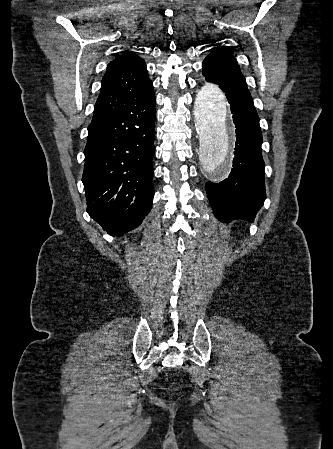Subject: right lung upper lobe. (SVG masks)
Wrapping results in <instances>:
<instances>
[{
    "instance_id": "1",
    "label": "right lung upper lobe",
    "mask_w": 333,
    "mask_h": 449,
    "mask_svg": "<svg viewBox=\"0 0 333 449\" xmlns=\"http://www.w3.org/2000/svg\"><path fill=\"white\" fill-rule=\"evenodd\" d=\"M101 84L93 118L113 112L153 86L144 60L132 51L109 63Z\"/></svg>"
}]
</instances>
